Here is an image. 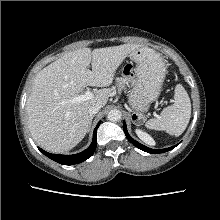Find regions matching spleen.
I'll use <instances>...</instances> for the list:
<instances>
[{
    "label": "spleen",
    "instance_id": "obj_1",
    "mask_svg": "<svg viewBox=\"0 0 220 220\" xmlns=\"http://www.w3.org/2000/svg\"><path fill=\"white\" fill-rule=\"evenodd\" d=\"M174 100L175 103L163 109L160 116L146 122L148 129L166 131L174 136H180L185 131L191 116V102L181 84L175 87Z\"/></svg>",
    "mask_w": 220,
    "mask_h": 220
}]
</instances>
